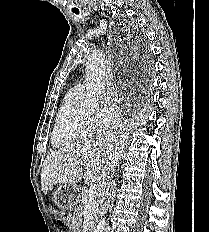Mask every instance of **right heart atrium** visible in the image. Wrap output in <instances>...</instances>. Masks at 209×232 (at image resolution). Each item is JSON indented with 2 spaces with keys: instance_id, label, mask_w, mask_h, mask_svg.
<instances>
[{
  "instance_id": "right-heart-atrium-1",
  "label": "right heart atrium",
  "mask_w": 209,
  "mask_h": 232,
  "mask_svg": "<svg viewBox=\"0 0 209 232\" xmlns=\"http://www.w3.org/2000/svg\"><path fill=\"white\" fill-rule=\"evenodd\" d=\"M119 119V111L115 107H103L94 117L93 122L98 130H104Z\"/></svg>"
}]
</instances>
